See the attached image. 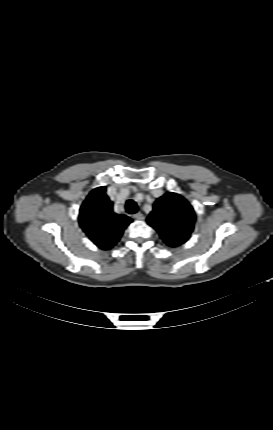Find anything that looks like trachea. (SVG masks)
<instances>
[{"label":"trachea","mask_w":273,"mask_h":430,"mask_svg":"<svg viewBox=\"0 0 273 430\" xmlns=\"http://www.w3.org/2000/svg\"><path fill=\"white\" fill-rule=\"evenodd\" d=\"M137 204L133 201V200H128L127 202H126V211L129 213V214H134V213H136L137 212Z\"/></svg>","instance_id":"3493384b"}]
</instances>
